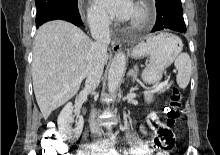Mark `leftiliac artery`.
<instances>
[{"label": "left iliac artery", "instance_id": "1", "mask_svg": "<svg viewBox=\"0 0 220 155\" xmlns=\"http://www.w3.org/2000/svg\"><path fill=\"white\" fill-rule=\"evenodd\" d=\"M112 155H120L119 153H117L116 151L112 152Z\"/></svg>", "mask_w": 220, "mask_h": 155}]
</instances>
